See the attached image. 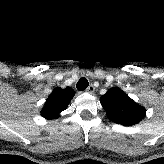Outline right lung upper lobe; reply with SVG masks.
Listing matches in <instances>:
<instances>
[{"mask_svg": "<svg viewBox=\"0 0 164 164\" xmlns=\"http://www.w3.org/2000/svg\"><path fill=\"white\" fill-rule=\"evenodd\" d=\"M73 96L74 91L69 87L54 89L46 100L41 115L46 119L58 118L60 113L67 108Z\"/></svg>", "mask_w": 164, "mask_h": 164, "instance_id": "1", "label": "right lung upper lobe"}]
</instances>
